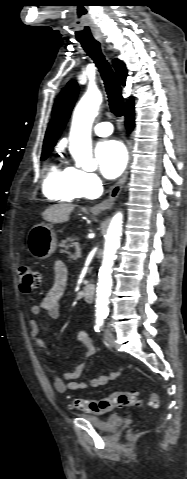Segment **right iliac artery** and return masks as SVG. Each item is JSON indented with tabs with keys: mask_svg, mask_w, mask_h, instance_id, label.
I'll return each instance as SVG.
<instances>
[{
	"mask_svg": "<svg viewBox=\"0 0 187 479\" xmlns=\"http://www.w3.org/2000/svg\"><path fill=\"white\" fill-rule=\"evenodd\" d=\"M105 316H98L95 321V331L100 332L103 327Z\"/></svg>",
	"mask_w": 187,
	"mask_h": 479,
	"instance_id": "82829eb1",
	"label": "right iliac artery"
}]
</instances>
